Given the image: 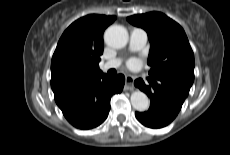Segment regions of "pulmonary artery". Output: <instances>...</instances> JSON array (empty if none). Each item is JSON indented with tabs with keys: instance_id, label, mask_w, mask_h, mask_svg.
<instances>
[{
	"instance_id": "e3ab8cb5",
	"label": "pulmonary artery",
	"mask_w": 230,
	"mask_h": 155,
	"mask_svg": "<svg viewBox=\"0 0 230 155\" xmlns=\"http://www.w3.org/2000/svg\"><path fill=\"white\" fill-rule=\"evenodd\" d=\"M147 42V33L141 28H133L130 33L129 48L132 51H138L142 49ZM121 59L113 58L107 62L101 64V69L107 71L119 67Z\"/></svg>"
}]
</instances>
